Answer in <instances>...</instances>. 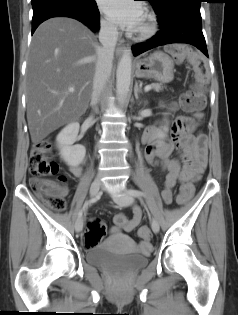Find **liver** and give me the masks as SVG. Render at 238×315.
<instances>
[{
	"mask_svg": "<svg viewBox=\"0 0 238 315\" xmlns=\"http://www.w3.org/2000/svg\"><path fill=\"white\" fill-rule=\"evenodd\" d=\"M100 48L96 36L75 19L51 18L37 28L26 70L27 121L34 145L86 112Z\"/></svg>",
	"mask_w": 238,
	"mask_h": 315,
	"instance_id": "1",
	"label": "liver"
}]
</instances>
